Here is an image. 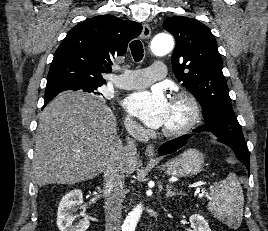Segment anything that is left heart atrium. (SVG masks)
Masks as SVG:
<instances>
[{
  "label": "left heart atrium",
  "mask_w": 268,
  "mask_h": 231,
  "mask_svg": "<svg viewBox=\"0 0 268 231\" xmlns=\"http://www.w3.org/2000/svg\"><path fill=\"white\" fill-rule=\"evenodd\" d=\"M124 105L132 116L154 129L163 126L169 109L166 95L159 87L132 93Z\"/></svg>",
  "instance_id": "left-heart-atrium-1"
}]
</instances>
